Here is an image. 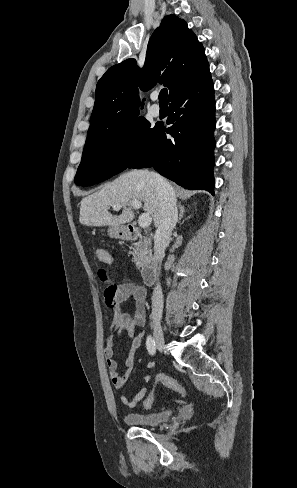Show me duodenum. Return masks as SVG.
Masks as SVG:
<instances>
[{
  "label": "duodenum",
  "instance_id": "410a0bca",
  "mask_svg": "<svg viewBox=\"0 0 297 488\" xmlns=\"http://www.w3.org/2000/svg\"><path fill=\"white\" fill-rule=\"evenodd\" d=\"M137 235H139V230L133 226L127 227L124 231V237L126 239H134ZM158 272V260L153 255L147 256L141 267V276L143 281L146 284H152L156 280Z\"/></svg>",
  "mask_w": 297,
  "mask_h": 488
}]
</instances>
